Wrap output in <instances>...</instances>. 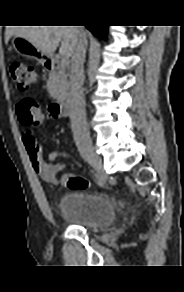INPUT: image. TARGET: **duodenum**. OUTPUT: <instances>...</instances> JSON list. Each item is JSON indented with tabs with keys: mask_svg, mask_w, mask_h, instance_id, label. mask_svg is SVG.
Segmentation results:
<instances>
[{
	"mask_svg": "<svg viewBox=\"0 0 184 292\" xmlns=\"http://www.w3.org/2000/svg\"><path fill=\"white\" fill-rule=\"evenodd\" d=\"M54 66V60H50L47 64V68L50 70L53 69ZM72 109L73 97L71 95H63L52 103L50 112L53 116L67 117L71 114Z\"/></svg>",
	"mask_w": 184,
	"mask_h": 292,
	"instance_id": "duodenum-1",
	"label": "duodenum"
}]
</instances>
